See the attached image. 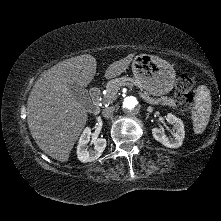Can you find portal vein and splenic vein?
Masks as SVG:
<instances>
[{
    "label": "portal vein and splenic vein",
    "instance_id": "portal-vein-and-splenic-vein-1",
    "mask_svg": "<svg viewBox=\"0 0 221 221\" xmlns=\"http://www.w3.org/2000/svg\"><path fill=\"white\" fill-rule=\"evenodd\" d=\"M150 104H156L157 102L156 101H154V100H152V99H150V98H145Z\"/></svg>",
    "mask_w": 221,
    "mask_h": 221
}]
</instances>
